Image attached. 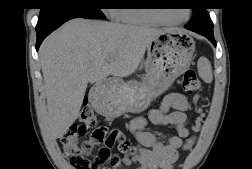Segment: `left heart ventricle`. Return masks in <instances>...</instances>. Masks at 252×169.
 <instances>
[{
    "label": "left heart ventricle",
    "instance_id": "obj_1",
    "mask_svg": "<svg viewBox=\"0 0 252 169\" xmlns=\"http://www.w3.org/2000/svg\"><path fill=\"white\" fill-rule=\"evenodd\" d=\"M162 16L168 20L180 21L186 17V11L184 9L166 10Z\"/></svg>",
    "mask_w": 252,
    "mask_h": 169
}]
</instances>
